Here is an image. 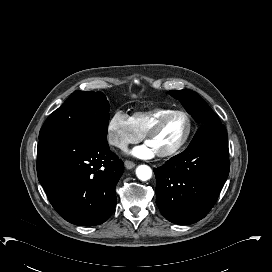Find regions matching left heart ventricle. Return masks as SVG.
<instances>
[{
	"label": "left heart ventricle",
	"mask_w": 272,
	"mask_h": 272,
	"mask_svg": "<svg viewBox=\"0 0 272 272\" xmlns=\"http://www.w3.org/2000/svg\"><path fill=\"white\" fill-rule=\"evenodd\" d=\"M187 124L182 116L169 119L161 129L148 139L156 153L174 149L184 138Z\"/></svg>",
	"instance_id": "obj_1"
}]
</instances>
